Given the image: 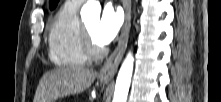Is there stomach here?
<instances>
[{
  "label": "stomach",
  "mask_w": 221,
  "mask_h": 102,
  "mask_svg": "<svg viewBox=\"0 0 221 102\" xmlns=\"http://www.w3.org/2000/svg\"><path fill=\"white\" fill-rule=\"evenodd\" d=\"M101 83L106 84L108 83V80H101Z\"/></svg>",
  "instance_id": "1"
}]
</instances>
